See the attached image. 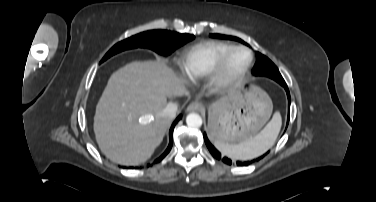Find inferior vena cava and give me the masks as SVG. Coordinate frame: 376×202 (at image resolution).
<instances>
[{
  "label": "inferior vena cava",
  "mask_w": 376,
  "mask_h": 202,
  "mask_svg": "<svg viewBox=\"0 0 376 202\" xmlns=\"http://www.w3.org/2000/svg\"><path fill=\"white\" fill-rule=\"evenodd\" d=\"M178 106L175 103H169L162 111L161 115L163 117H168L170 119H173L176 115Z\"/></svg>",
  "instance_id": "602c4592"
}]
</instances>
